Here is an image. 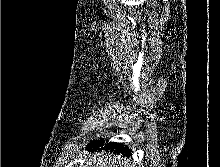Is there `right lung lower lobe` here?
<instances>
[{
    "instance_id": "98d812e1",
    "label": "right lung lower lobe",
    "mask_w": 220,
    "mask_h": 167,
    "mask_svg": "<svg viewBox=\"0 0 220 167\" xmlns=\"http://www.w3.org/2000/svg\"><path fill=\"white\" fill-rule=\"evenodd\" d=\"M103 142L104 141H102V140H97V141L91 142L90 144H88L87 149L94 151V149H98V147H101L98 149V151L105 149V150H109L114 153H122L125 156L131 155V151L129 149H127L126 147H124L122 144L110 142V143L104 145Z\"/></svg>"
}]
</instances>
